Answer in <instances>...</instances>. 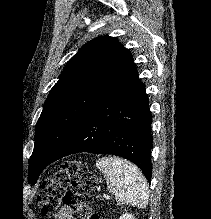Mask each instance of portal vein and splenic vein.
<instances>
[{
	"instance_id": "portal-vein-and-splenic-vein-1",
	"label": "portal vein and splenic vein",
	"mask_w": 211,
	"mask_h": 219,
	"mask_svg": "<svg viewBox=\"0 0 211 219\" xmlns=\"http://www.w3.org/2000/svg\"><path fill=\"white\" fill-rule=\"evenodd\" d=\"M104 197H105V198H109L108 194H104Z\"/></svg>"
}]
</instances>
